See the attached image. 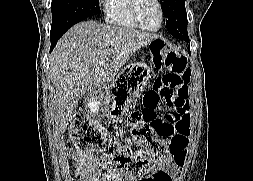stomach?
<instances>
[{"instance_id": "stomach-1", "label": "stomach", "mask_w": 253, "mask_h": 181, "mask_svg": "<svg viewBox=\"0 0 253 181\" xmlns=\"http://www.w3.org/2000/svg\"><path fill=\"white\" fill-rule=\"evenodd\" d=\"M148 78L144 63H132L124 67L110 85L89 92L84 107L91 117L106 116L121 120L131 109L143 90Z\"/></svg>"}]
</instances>
